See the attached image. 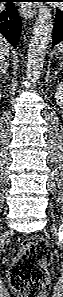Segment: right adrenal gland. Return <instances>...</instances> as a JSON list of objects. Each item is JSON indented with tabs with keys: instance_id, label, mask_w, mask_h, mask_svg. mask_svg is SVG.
<instances>
[{
	"instance_id": "1",
	"label": "right adrenal gland",
	"mask_w": 63,
	"mask_h": 297,
	"mask_svg": "<svg viewBox=\"0 0 63 297\" xmlns=\"http://www.w3.org/2000/svg\"><path fill=\"white\" fill-rule=\"evenodd\" d=\"M7 70H8V65L2 66L1 70H0V77L6 76L7 75Z\"/></svg>"
}]
</instances>
